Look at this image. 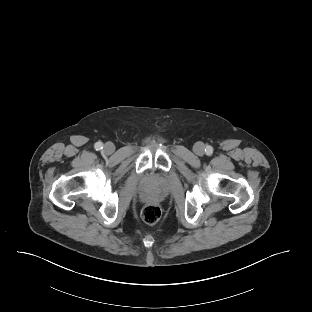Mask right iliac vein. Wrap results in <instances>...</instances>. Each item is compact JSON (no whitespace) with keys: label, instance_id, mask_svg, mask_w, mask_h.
<instances>
[{"label":"right iliac vein","instance_id":"right-iliac-vein-1","mask_svg":"<svg viewBox=\"0 0 312 312\" xmlns=\"http://www.w3.org/2000/svg\"><path fill=\"white\" fill-rule=\"evenodd\" d=\"M115 150V147L114 145L111 143V142H107L105 145H104V148H103V151L106 153V154H112Z\"/></svg>","mask_w":312,"mask_h":312}]
</instances>
